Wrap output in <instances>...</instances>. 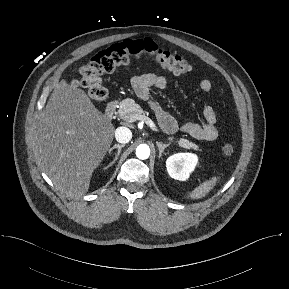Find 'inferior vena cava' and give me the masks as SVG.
Here are the masks:
<instances>
[{"instance_id":"602c4592","label":"inferior vena cava","mask_w":289,"mask_h":289,"mask_svg":"<svg viewBox=\"0 0 289 289\" xmlns=\"http://www.w3.org/2000/svg\"><path fill=\"white\" fill-rule=\"evenodd\" d=\"M115 138L121 144L128 143L132 138V132L127 127H118L115 130Z\"/></svg>"}]
</instances>
